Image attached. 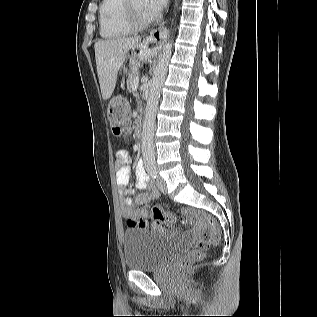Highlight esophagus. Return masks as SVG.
<instances>
[{
  "label": "esophagus",
  "mask_w": 317,
  "mask_h": 317,
  "mask_svg": "<svg viewBox=\"0 0 317 317\" xmlns=\"http://www.w3.org/2000/svg\"><path fill=\"white\" fill-rule=\"evenodd\" d=\"M166 38V29L164 26H160L158 29H154L146 37L147 41L161 42Z\"/></svg>",
  "instance_id": "esophagus-1"
}]
</instances>
